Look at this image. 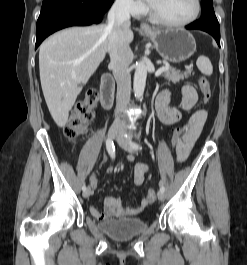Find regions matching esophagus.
<instances>
[{"mask_svg": "<svg viewBox=\"0 0 247 265\" xmlns=\"http://www.w3.org/2000/svg\"><path fill=\"white\" fill-rule=\"evenodd\" d=\"M140 29H141L142 31H145V32L152 31L150 25L147 24V23H141V24H140Z\"/></svg>", "mask_w": 247, "mask_h": 265, "instance_id": "esophagus-1", "label": "esophagus"}]
</instances>
